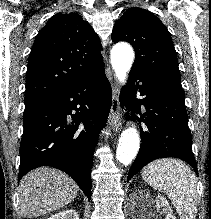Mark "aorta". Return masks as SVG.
<instances>
[{"label":"aorta","mask_w":211,"mask_h":219,"mask_svg":"<svg viewBox=\"0 0 211 219\" xmlns=\"http://www.w3.org/2000/svg\"><path fill=\"white\" fill-rule=\"evenodd\" d=\"M134 59V52L130 45L123 43L113 47L111 64L118 80L123 84ZM140 146L139 134L134 127L124 130L119 139L116 157L123 165H129L136 157Z\"/></svg>","instance_id":"obj_1"}]
</instances>
